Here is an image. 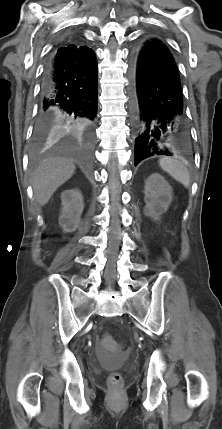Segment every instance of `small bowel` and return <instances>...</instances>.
<instances>
[{
  "label": "small bowel",
  "mask_w": 222,
  "mask_h": 429,
  "mask_svg": "<svg viewBox=\"0 0 222 429\" xmlns=\"http://www.w3.org/2000/svg\"><path fill=\"white\" fill-rule=\"evenodd\" d=\"M98 351H99V354L101 355V357H103V358L109 357L108 349L103 347L102 345L99 346Z\"/></svg>",
  "instance_id": "small-bowel-1"
}]
</instances>
